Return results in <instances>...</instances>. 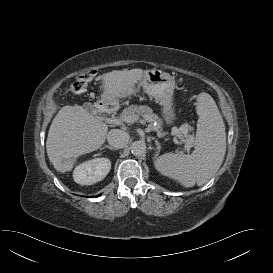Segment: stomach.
I'll return each instance as SVG.
<instances>
[{"mask_svg": "<svg viewBox=\"0 0 273 273\" xmlns=\"http://www.w3.org/2000/svg\"><path fill=\"white\" fill-rule=\"evenodd\" d=\"M136 86L142 87L144 92L159 101L162 106V114L167 124L175 120L173 95L175 89V78L169 73L158 69L146 70L143 78L133 86L132 92H125L114 100L111 104L108 102L107 95L103 93L102 101L106 104L116 105L120 98L135 94Z\"/></svg>", "mask_w": 273, "mask_h": 273, "instance_id": "1", "label": "stomach"}]
</instances>
